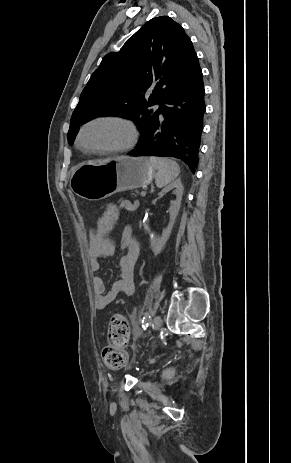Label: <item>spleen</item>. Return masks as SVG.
I'll use <instances>...</instances> for the list:
<instances>
[{
	"instance_id": "obj_1",
	"label": "spleen",
	"mask_w": 291,
	"mask_h": 463,
	"mask_svg": "<svg viewBox=\"0 0 291 463\" xmlns=\"http://www.w3.org/2000/svg\"><path fill=\"white\" fill-rule=\"evenodd\" d=\"M149 161L157 170L155 182L158 188L174 181L180 173L179 165L171 159L150 157Z\"/></svg>"
}]
</instances>
